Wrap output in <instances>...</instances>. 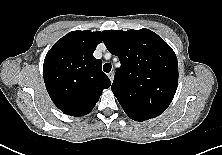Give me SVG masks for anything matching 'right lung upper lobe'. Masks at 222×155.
Here are the masks:
<instances>
[{"instance_id":"cb5924a9","label":"right lung upper lobe","mask_w":222,"mask_h":155,"mask_svg":"<svg viewBox=\"0 0 222 155\" xmlns=\"http://www.w3.org/2000/svg\"><path fill=\"white\" fill-rule=\"evenodd\" d=\"M103 40L100 31H72L47 53L43 65L46 89L63 113L80 117L92 111L111 81L102 72V61L93 56Z\"/></svg>"}]
</instances>
